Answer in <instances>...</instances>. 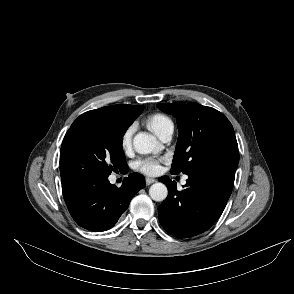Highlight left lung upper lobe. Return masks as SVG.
Returning <instances> with one entry per match:
<instances>
[{
	"label": "left lung upper lobe",
	"instance_id": "5c2ea615",
	"mask_svg": "<svg viewBox=\"0 0 294 294\" xmlns=\"http://www.w3.org/2000/svg\"><path fill=\"white\" fill-rule=\"evenodd\" d=\"M177 120L179 137L171 167L172 174L192 175L221 155L238 151L233 126L221 112L198 103L158 104Z\"/></svg>",
	"mask_w": 294,
	"mask_h": 294
}]
</instances>
